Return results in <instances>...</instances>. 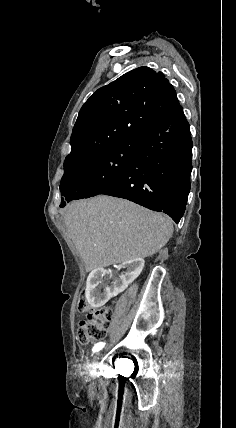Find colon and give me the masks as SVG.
<instances>
[{"mask_svg": "<svg viewBox=\"0 0 236 428\" xmlns=\"http://www.w3.org/2000/svg\"><path fill=\"white\" fill-rule=\"evenodd\" d=\"M85 289L80 291L79 310L85 314L77 329V339L81 344L95 343L107 335L111 321V311L107 308L90 306L85 297Z\"/></svg>", "mask_w": 236, "mask_h": 428, "instance_id": "1", "label": "colon"}]
</instances>
